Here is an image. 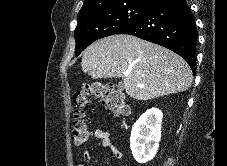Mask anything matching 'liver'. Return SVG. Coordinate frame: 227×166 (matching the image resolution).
Returning a JSON list of instances; mask_svg holds the SVG:
<instances>
[{"instance_id":"liver-1","label":"liver","mask_w":227,"mask_h":166,"mask_svg":"<svg viewBox=\"0 0 227 166\" xmlns=\"http://www.w3.org/2000/svg\"><path fill=\"white\" fill-rule=\"evenodd\" d=\"M81 67L94 79L121 77L126 93L141 101L184 92L193 81L190 66L178 54L131 35L95 41L84 51Z\"/></svg>"}]
</instances>
